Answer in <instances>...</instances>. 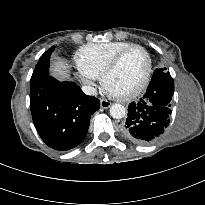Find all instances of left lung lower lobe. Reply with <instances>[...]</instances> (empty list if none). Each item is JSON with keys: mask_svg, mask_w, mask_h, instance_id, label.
Returning <instances> with one entry per match:
<instances>
[{"mask_svg": "<svg viewBox=\"0 0 205 205\" xmlns=\"http://www.w3.org/2000/svg\"><path fill=\"white\" fill-rule=\"evenodd\" d=\"M160 93L155 91L153 94ZM156 95L141 98L139 102L129 104L128 117L121 127L123 136L136 144L153 143L165 132L170 122L171 104L167 98Z\"/></svg>", "mask_w": 205, "mask_h": 205, "instance_id": "left-lung-lower-lobe-1", "label": "left lung lower lobe"}]
</instances>
